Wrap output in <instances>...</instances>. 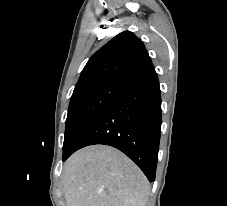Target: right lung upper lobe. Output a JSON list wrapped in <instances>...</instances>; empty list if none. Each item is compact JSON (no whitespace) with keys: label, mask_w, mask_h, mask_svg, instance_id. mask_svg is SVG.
<instances>
[{"label":"right lung upper lobe","mask_w":227,"mask_h":206,"mask_svg":"<svg viewBox=\"0 0 227 206\" xmlns=\"http://www.w3.org/2000/svg\"><path fill=\"white\" fill-rule=\"evenodd\" d=\"M152 69L154 66L143 42L132 32L124 31L90 57L74 91L107 79L129 82Z\"/></svg>","instance_id":"cb5924a9"}]
</instances>
